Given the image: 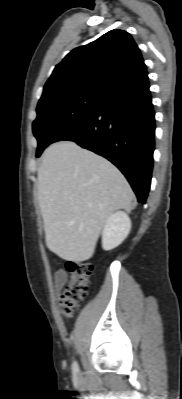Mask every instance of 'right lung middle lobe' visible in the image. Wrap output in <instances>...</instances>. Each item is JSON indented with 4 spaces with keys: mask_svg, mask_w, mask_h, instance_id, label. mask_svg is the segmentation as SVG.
I'll return each instance as SVG.
<instances>
[{
    "mask_svg": "<svg viewBox=\"0 0 182 399\" xmlns=\"http://www.w3.org/2000/svg\"><path fill=\"white\" fill-rule=\"evenodd\" d=\"M103 101V96L74 94L39 102L33 122V133L38 140L36 157L52 143L58 132L93 114Z\"/></svg>",
    "mask_w": 182,
    "mask_h": 399,
    "instance_id": "obj_1",
    "label": "right lung middle lobe"
}]
</instances>
